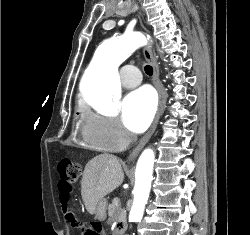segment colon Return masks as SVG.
I'll use <instances>...</instances> for the list:
<instances>
[{"instance_id":"colon-1","label":"colon","mask_w":250,"mask_h":235,"mask_svg":"<svg viewBox=\"0 0 250 235\" xmlns=\"http://www.w3.org/2000/svg\"><path fill=\"white\" fill-rule=\"evenodd\" d=\"M81 173V167L79 163L70 160L64 159L58 164V190L60 195H68L72 191L73 183L78 179ZM65 220L70 223L75 229L80 232L84 231V226L75 218V216L70 213H65Z\"/></svg>"}]
</instances>
